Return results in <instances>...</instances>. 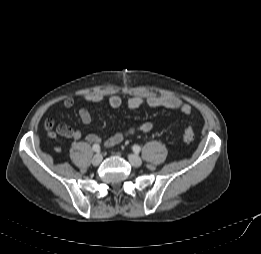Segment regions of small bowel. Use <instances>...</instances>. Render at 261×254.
Returning a JSON list of instances; mask_svg holds the SVG:
<instances>
[{"label":"small bowel","mask_w":261,"mask_h":254,"mask_svg":"<svg viewBox=\"0 0 261 254\" xmlns=\"http://www.w3.org/2000/svg\"><path fill=\"white\" fill-rule=\"evenodd\" d=\"M82 99L88 103H99L105 99V95L103 93L84 94ZM108 103L112 108H118L122 105V98L119 95H112L109 97ZM73 105L74 100L72 98H66L62 101V106L65 108H71ZM143 105H147L152 108L163 107L167 109L178 110L186 116L192 115V109L190 105L174 96L149 94L146 97H132L127 102L129 109H137ZM78 115L80 121L84 125L91 123L92 116L87 108H81L78 112ZM44 126L45 129L49 132L50 136H55L58 134L60 136L78 140L82 138L83 135L80 129H74L65 124L56 125L55 121L52 119L46 120ZM153 128V123L145 122L137 127H129L119 130L112 134L105 141H102V139L96 134L86 135L85 140L92 144L99 145L103 143L106 147H113L121 143L125 138L129 137L135 132H150L153 130Z\"/></svg>","instance_id":"obj_1"}]
</instances>
